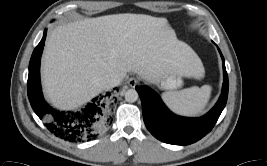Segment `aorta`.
<instances>
[{"mask_svg": "<svg viewBox=\"0 0 267 166\" xmlns=\"http://www.w3.org/2000/svg\"><path fill=\"white\" fill-rule=\"evenodd\" d=\"M138 97V92L135 89H129L125 92V100L129 103L137 101Z\"/></svg>", "mask_w": 267, "mask_h": 166, "instance_id": "aorta-1", "label": "aorta"}]
</instances>
